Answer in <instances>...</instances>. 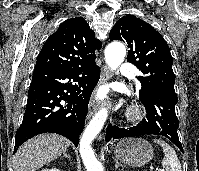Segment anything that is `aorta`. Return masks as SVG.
Here are the masks:
<instances>
[{"instance_id":"aorta-1","label":"aorta","mask_w":199,"mask_h":171,"mask_svg":"<svg viewBox=\"0 0 199 171\" xmlns=\"http://www.w3.org/2000/svg\"><path fill=\"white\" fill-rule=\"evenodd\" d=\"M125 55V46L120 42H112L105 49L106 63L111 70H116L121 65ZM107 117L108 110L100 109L89 122L80 139L79 151L87 171H103L102 165L94 155L91 143L103 128Z\"/></svg>"}]
</instances>
